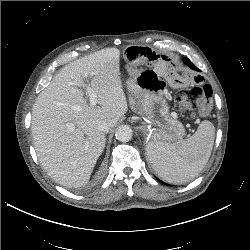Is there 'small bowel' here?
<instances>
[{
    "label": "small bowel",
    "instance_id": "c3829d8e",
    "mask_svg": "<svg viewBox=\"0 0 250 250\" xmlns=\"http://www.w3.org/2000/svg\"><path fill=\"white\" fill-rule=\"evenodd\" d=\"M141 57L146 59L148 62H151L156 59L155 55L151 51L143 49V48L131 47L126 50V58L129 64V70L131 72H137L138 70H140L141 67L139 65L138 60ZM179 80H180L179 82L183 86H188L190 84L201 83L203 81V78L201 75L195 74L190 77L179 79Z\"/></svg>",
    "mask_w": 250,
    "mask_h": 250
}]
</instances>
